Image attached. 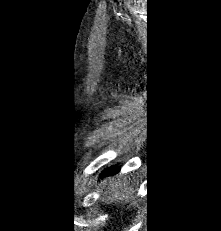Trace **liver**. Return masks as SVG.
I'll return each mask as SVG.
<instances>
[{
  "label": "liver",
  "mask_w": 221,
  "mask_h": 231,
  "mask_svg": "<svg viewBox=\"0 0 221 231\" xmlns=\"http://www.w3.org/2000/svg\"><path fill=\"white\" fill-rule=\"evenodd\" d=\"M134 186L135 185L132 183V181H128L127 179L123 181L113 180L108 184V189L111 190L112 195L116 200L129 202L134 199V194L136 192Z\"/></svg>",
  "instance_id": "liver-1"
}]
</instances>
